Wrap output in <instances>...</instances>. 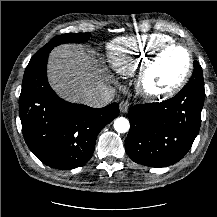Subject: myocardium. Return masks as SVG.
<instances>
[{
  "instance_id": "obj_1",
  "label": "myocardium",
  "mask_w": 217,
  "mask_h": 217,
  "mask_svg": "<svg viewBox=\"0 0 217 217\" xmlns=\"http://www.w3.org/2000/svg\"><path fill=\"white\" fill-rule=\"evenodd\" d=\"M171 49L183 50L188 57V64L183 75L169 88L155 90L149 84L151 71L156 66L160 58ZM194 68L193 55L188 47L183 44L170 42L155 50L150 57L143 63L136 79V88L139 94L147 100H161L177 94L189 81Z\"/></svg>"
}]
</instances>
